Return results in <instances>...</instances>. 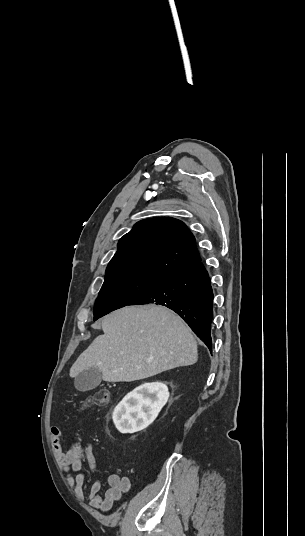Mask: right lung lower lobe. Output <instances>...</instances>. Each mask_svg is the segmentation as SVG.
<instances>
[{"mask_svg": "<svg viewBox=\"0 0 305 536\" xmlns=\"http://www.w3.org/2000/svg\"><path fill=\"white\" fill-rule=\"evenodd\" d=\"M213 292L201 261L164 277L130 305L156 303L175 311L212 351Z\"/></svg>", "mask_w": 305, "mask_h": 536, "instance_id": "obj_1", "label": "right lung lower lobe"}]
</instances>
